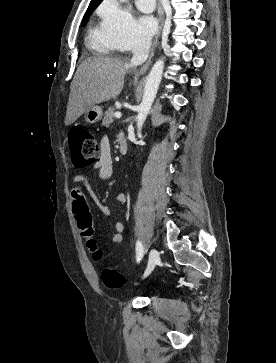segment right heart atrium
<instances>
[{"mask_svg":"<svg viewBox=\"0 0 276 363\" xmlns=\"http://www.w3.org/2000/svg\"><path fill=\"white\" fill-rule=\"evenodd\" d=\"M102 28L118 49L142 47L148 39L140 31L132 13L115 0H107L100 9Z\"/></svg>","mask_w":276,"mask_h":363,"instance_id":"right-heart-atrium-1","label":"right heart atrium"}]
</instances>
